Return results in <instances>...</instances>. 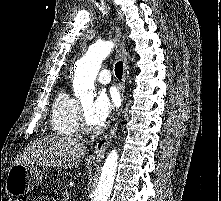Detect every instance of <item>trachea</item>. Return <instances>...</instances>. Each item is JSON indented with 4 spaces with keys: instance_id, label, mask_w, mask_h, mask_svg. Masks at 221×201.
<instances>
[{
    "instance_id": "3493384b",
    "label": "trachea",
    "mask_w": 221,
    "mask_h": 201,
    "mask_svg": "<svg viewBox=\"0 0 221 201\" xmlns=\"http://www.w3.org/2000/svg\"><path fill=\"white\" fill-rule=\"evenodd\" d=\"M96 2L100 3V0H96ZM122 74H123V62L119 61L115 64V75L118 79H121Z\"/></svg>"
}]
</instances>
